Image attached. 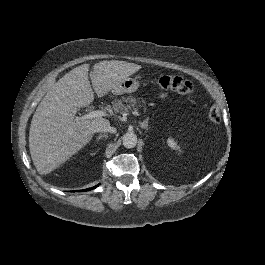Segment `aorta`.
<instances>
[{
    "instance_id": "obj_1",
    "label": "aorta",
    "mask_w": 265,
    "mask_h": 265,
    "mask_svg": "<svg viewBox=\"0 0 265 265\" xmlns=\"http://www.w3.org/2000/svg\"><path fill=\"white\" fill-rule=\"evenodd\" d=\"M123 145L132 148L137 143V136L134 132H126L122 137Z\"/></svg>"
}]
</instances>
